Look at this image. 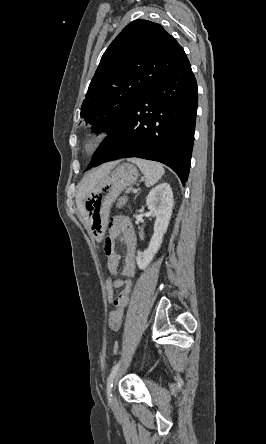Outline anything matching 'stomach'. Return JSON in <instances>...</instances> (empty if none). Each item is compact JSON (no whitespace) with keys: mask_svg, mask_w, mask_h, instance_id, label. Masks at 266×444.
Segmentation results:
<instances>
[{"mask_svg":"<svg viewBox=\"0 0 266 444\" xmlns=\"http://www.w3.org/2000/svg\"><path fill=\"white\" fill-rule=\"evenodd\" d=\"M138 169L130 163H123L110 171L89 192L83 201V217L95 239H101L112 204L120 192L132 186L138 179Z\"/></svg>","mask_w":266,"mask_h":444,"instance_id":"0dacf381","label":"stomach"}]
</instances>
